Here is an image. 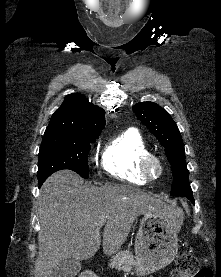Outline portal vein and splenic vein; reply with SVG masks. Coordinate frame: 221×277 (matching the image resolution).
I'll list each match as a JSON object with an SVG mask.
<instances>
[{"mask_svg": "<svg viewBox=\"0 0 221 277\" xmlns=\"http://www.w3.org/2000/svg\"><path fill=\"white\" fill-rule=\"evenodd\" d=\"M105 222H106V219H102V220L99 222V225L102 226Z\"/></svg>", "mask_w": 221, "mask_h": 277, "instance_id": "obj_1", "label": "portal vein and splenic vein"}]
</instances>
